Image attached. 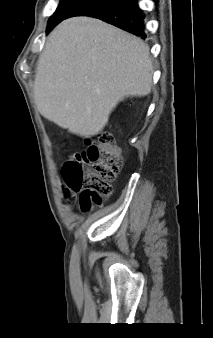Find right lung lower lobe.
I'll return each instance as SVG.
<instances>
[{
  "instance_id": "1",
  "label": "right lung lower lobe",
  "mask_w": 213,
  "mask_h": 338,
  "mask_svg": "<svg viewBox=\"0 0 213 338\" xmlns=\"http://www.w3.org/2000/svg\"><path fill=\"white\" fill-rule=\"evenodd\" d=\"M74 16L95 17L143 39L147 37L144 29L145 15L137 0H93L77 8L67 18Z\"/></svg>"
}]
</instances>
